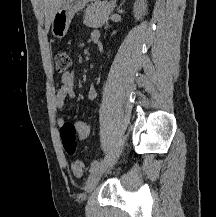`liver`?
<instances>
[{"label":"liver","instance_id":"obj_1","mask_svg":"<svg viewBox=\"0 0 216 217\" xmlns=\"http://www.w3.org/2000/svg\"><path fill=\"white\" fill-rule=\"evenodd\" d=\"M63 0H43L45 12V28L48 31L56 10L59 8Z\"/></svg>","mask_w":216,"mask_h":217}]
</instances>
